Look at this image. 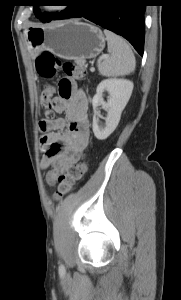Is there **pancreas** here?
<instances>
[{
  "mask_svg": "<svg viewBox=\"0 0 181 300\" xmlns=\"http://www.w3.org/2000/svg\"><path fill=\"white\" fill-rule=\"evenodd\" d=\"M77 65L82 66L83 63L81 61H75Z\"/></svg>",
  "mask_w": 181,
  "mask_h": 300,
  "instance_id": "cf45deb5",
  "label": "pancreas"
}]
</instances>
